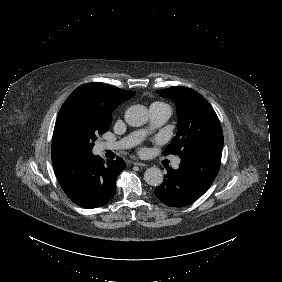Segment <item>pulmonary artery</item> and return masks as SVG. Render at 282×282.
Wrapping results in <instances>:
<instances>
[{
    "mask_svg": "<svg viewBox=\"0 0 282 282\" xmlns=\"http://www.w3.org/2000/svg\"><path fill=\"white\" fill-rule=\"evenodd\" d=\"M150 113V119L151 123L154 126H160L164 124L169 117L171 116L172 110L171 107L165 103H153L149 108ZM146 132L145 131H137L134 132L121 141L115 143V144H106L107 149H125L132 147L136 143H138L144 136ZM180 164V159L176 158L173 167L178 168Z\"/></svg>",
    "mask_w": 282,
    "mask_h": 282,
    "instance_id": "e3ab8cb5",
    "label": "pulmonary artery"
}]
</instances>
